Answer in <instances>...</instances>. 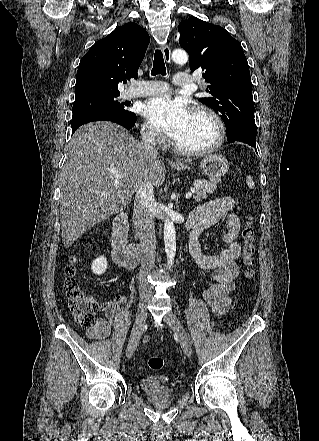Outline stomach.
Wrapping results in <instances>:
<instances>
[{
    "label": "stomach",
    "instance_id": "0dacf381",
    "mask_svg": "<svg viewBox=\"0 0 319 441\" xmlns=\"http://www.w3.org/2000/svg\"><path fill=\"white\" fill-rule=\"evenodd\" d=\"M203 173L211 178H220L224 176L229 168L227 160L218 154L207 155L201 162ZM177 170H186L189 167L185 165L176 166Z\"/></svg>",
    "mask_w": 319,
    "mask_h": 441
}]
</instances>
